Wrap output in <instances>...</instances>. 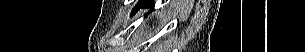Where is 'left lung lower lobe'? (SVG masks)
I'll return each mask as SVG.
<instances>
[{"mask_svg": "<svg viewBox=\"0 0 305 52\" xmlns=\"http://www.w3.org/2000/svg\"><path fill=\"white\" fill-rule=\"evenodd\" d=\"M145 4H146V2H140V6L145 5Z\"/></svg>", "mask_w": 305, "mask_h": 52, "instance_id": "1", "label": "left lung lower lobe"}]
</instances>
